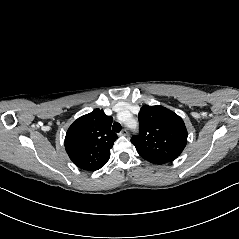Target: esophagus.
<instances>
[{"instance_id": "1", "label": "esophagus", "mask_w": 239, "mask_h": 239, "mask_svg": "<svg viewBox=\"0 0 239 239\" xmlns=\"http://www.w3.org/2000/svg\"><path fill=\"white\" fill-rule=\"evenodd\" d=\"M120 134L126 135V134H127V130H126V129H123V130L120 132Z\"/></svg>"}]
</instances>
